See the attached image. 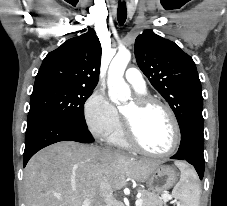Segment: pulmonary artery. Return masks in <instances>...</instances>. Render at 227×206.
Here are the masks:
<instances>
[{
    "label": "pulmonary artery",
    "mask_w": 227,
    "mask_h": 206,
    "mask_svg": "<svg viewBox=\"0 0 227 206\" xmlns=\"http://www.w3.org/2000/svg\"><path fill=\"white\" fill-rule=\"evenodd\" d=\"M126 81L138 93L146 92V83L141 72L134 67L128 68L125 73Z\"/></svg>",
    "instance_id": "1"
}]
</instances>
